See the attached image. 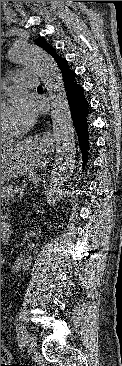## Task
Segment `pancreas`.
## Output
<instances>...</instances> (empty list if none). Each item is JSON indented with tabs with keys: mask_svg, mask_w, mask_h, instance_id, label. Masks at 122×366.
Returning a JSON list of instances; mask_svg holds the SVG:
<instances>
[{
	"mask_svg": "<svg viewBox=\"0 0 122 366\" xmlns=\"http://www.w3.org/2000/svg\"><path fill=\"white\" fill-rule=\"evenodd\" d=\"M24 190L23 187H19L18 185L11 184L1 188V200L9 199L10 196L14 195L16 191Z\"/></svg>",
	"mask_w": 122,
	"mask_h": 366,
	"instance_id": "cf45deb5",
	"label": "pancreas"
}]
</instances>
